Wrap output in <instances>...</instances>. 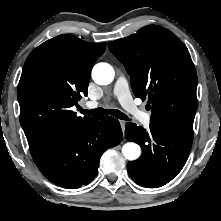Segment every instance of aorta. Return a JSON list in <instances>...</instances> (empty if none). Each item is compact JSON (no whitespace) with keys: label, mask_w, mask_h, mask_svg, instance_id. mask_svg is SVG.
<instances>
[{"label":"aorta","mask_w":221,"mask_h":221,"mask_svg":"<svg viewBox=\"0 0 221 221\" xmlns=\"http://www.w3.org/2000/svg\"><path fill=\"white\" fill-rule=\"evenodd\" d=\"M114 69L108 63H98L93 67L92 78L99 85H108L114 79ZM124 157L130 161L139 158L141 149L140 146L133 142H128L122 147Z\"/></svg>","instance_id":"762f6f07"}]
</instances>
